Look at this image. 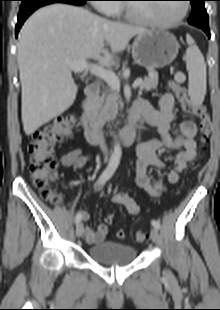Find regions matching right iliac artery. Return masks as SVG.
Instances as JSON below:
<instances>
[{
  "mask_svg": "<svg viewBox=\"0 0 220 310\" xmlns=\"http://www.w3.org/2000/svg\"><path fill=\"white\" fill-rule=\"evenodd\" d=\"M121 157V150L120 149H115L114 152L112 153V156L110 158L109 164L107 165L106 169L103 171L101 174L99 180L102 182H106L115 172L119 165ZM82 219L81 214L77 213L75 217V223L78 224Z\"/></svg>",
  "mask_w": 220,
  "mask_h": 310,
  "instance_id": "1",
  "label": "right iliac artery"
}]
</instances>
